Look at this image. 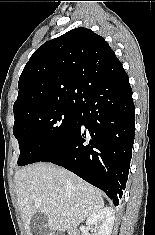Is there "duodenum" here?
<instances>
[{
  "mask_svg": "<svg viewBox=\"0 0 155 235\" xmlns=\"http://www.w3.org/2000/svg\"><path fill=\"white\" fill-rule=\"evenodd\" d=\"M68 235H80L79 234V231L76 230V229H71L69 232H68Z\"/></svg>",
  "mask_w": 155,
  "mask_h": 235,
  "instance_id": "duodenum-1",
  "label": "duodenum"
}]
</instances>
